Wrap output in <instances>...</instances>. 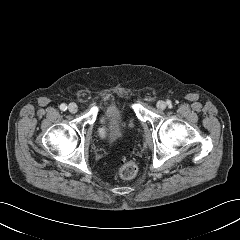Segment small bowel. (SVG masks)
<instances>
[{
    "instance_id": "obj_1",
    "label": "small bowel",
    "mask_w": 240,
    "mask_h": 240,
    "mask_svg": "<svg viewBox=\"0 0 240 240\" xmlns=\"http://www.w3.org/2000/svg\"><path fill=\"white\" fill-rule=\"evenodd\" d=\"M105 133H106L105 128H101V129L99 130V134H100L101 136H104Z\"/></svg>"
}]
</instances>
